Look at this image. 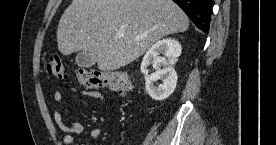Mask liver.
I'll list each match as a JSON object with an SVG mask.
<instances>
[{
    "instance_id": "1",
    "label": "liver",
    "mask_w": 276,
    "mask_h": 145,
    "mask_svg": "<svg viewBox=\"0 0 276 145\" xmlns=\"http://www.w3.org/2000/svg\"><path fill=\"white\" fill-rule=\"evenodd\" d=\"M188 27V17L172 0H73L60 18L57 43L63 55L89 52L100 70L114 71Z\"/></svg>"
}]
</instances>
